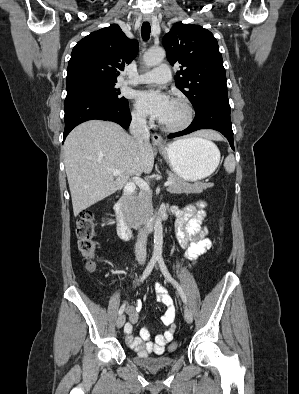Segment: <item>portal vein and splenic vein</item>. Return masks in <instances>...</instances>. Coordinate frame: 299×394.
Returning a JSON list of instances; mask_svg holds the SVG:
<instances>
[{
	"label": "portal vein and splenic vein",
	"mask_w": 299,
	"mask_h": 394,
	"mask_svg": "<svg viewBox=\"0 0 299 394\" xmlns=\"http://www.w3.org/2000/svg\"><path fill=\"white\" fill-rule=\"evenodd\" d=\"M108 170L111 171V172L113 173L114 176H118V175H120V174L123 173V171L120 170V169H108ZM132 180L134 181V183H135L141 190L146 191V192H149V191H150L149 184H148L146 181H144L143 179H141L140 177L134 176V177L132 178ZM171 184H172V181H171V180H168L167 182L164 183V187H168V186H170Z\"/></svg>",
	"instance_id": "18ae733b"
}]
</instances>
